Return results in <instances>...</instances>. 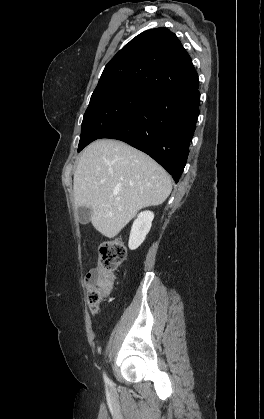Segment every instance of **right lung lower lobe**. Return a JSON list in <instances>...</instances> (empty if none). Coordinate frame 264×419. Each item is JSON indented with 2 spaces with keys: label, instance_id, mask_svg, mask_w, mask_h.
Instances as JSON below:
<instances>
[{
  "label": "right lung lower lobe",
  "instance_id": "right-lung-lower-lobe-1",
  "mask_svg": "<svg viewBox=\"0 0 264 419\" xmlns=\"http://www.w3.org/2000/svg\"><path fill=\"white\" fill-rule=\"evenodd\" d=\"M198 88L199 82L152 95L101 138L118 139L145 152L178 182L199 115Z\"/></svg>",
  "mask_w": 264,
  "mask_h": 419
}]
</instances>
